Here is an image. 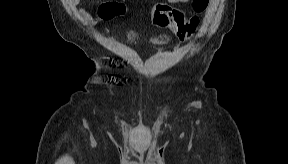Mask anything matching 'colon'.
<instances>
[{"instance_id": "5ec220e1", "label": "colon", "mask_w": 288, "mask_h": 164, "mask_svg": "<svg viewBox=\"0 0 288 164\" xmlns=\"http://www.w3.org/2000/svg\"><path fill=\"white\" fill-rule=\"evenodd\" d=\"M207 3V0H197L195 5L198 10H202ZM96 12L99 20L107 21L121 15L124 9L116 2H109L99 5ZM150 20L157 28H169L180 40L192 38L200 24L198 16L186 19L181 10L167 4H156L150 12Z\"/></svg>"}]
</instances>
